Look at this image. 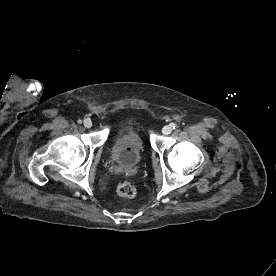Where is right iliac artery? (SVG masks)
<instances>
[{
  "mask_svg": "<svg viewBox=\"0 0 276 276\" xmlns=\"http://www.w3.org/2000/svg\"><path fill=\"white\" fill-rule=\"evenodd\" d=\"M77 122H78L79 124H81V123H82V120L79 119Z\"/></svg>",
  "mask_w": 276,
  "mask_h": 276,
  "instance_id": "1",
  "label": "right iliac artery"
}]
</instances>
